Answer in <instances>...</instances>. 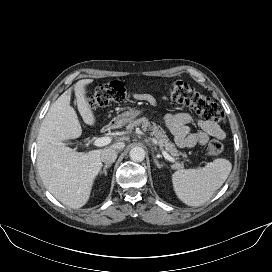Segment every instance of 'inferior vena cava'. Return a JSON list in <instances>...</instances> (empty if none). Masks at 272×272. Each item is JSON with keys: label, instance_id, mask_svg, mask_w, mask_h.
<instances>
[{"label": "inferior vena cava", "instance_id": "inferior-vena-cava-1", "mask_svg": "<svg viewBox=\"0 0 272 272\" xmlns=\"http://www.w3.org/2000/svg\"><path fill=\"white\" fill-rule=\"evenodd\" d=\"M117 158V152L112 148H105L101 152V160L105 164H112Z\"/></svg>", "mask_w": 272, "mask_h": 272}]
</instances>
